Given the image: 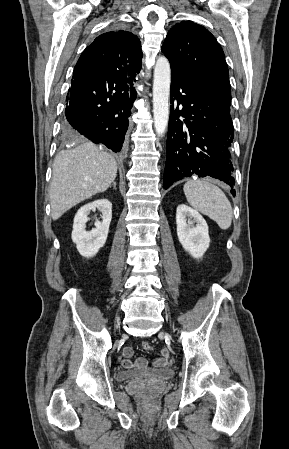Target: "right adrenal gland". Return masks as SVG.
Instances as JSON below:
<instances>
[{
    "label": "right adrenal gland",
    "mask_w": 289,
    "mask_h": 449,
    "mask_svg": "<svg viewBox=\"0 0 289 449\" xmlns=\"http://www.w3.org/2000/svg\"><path fill=\"white\" fill-rule=\"evenodd\" d=\"M112 186H113L114 189H116V182L115 181L112 182Z\"/></svg>",
    "instance_id": "right-adrenal-gland-1"
}]
</instances>
